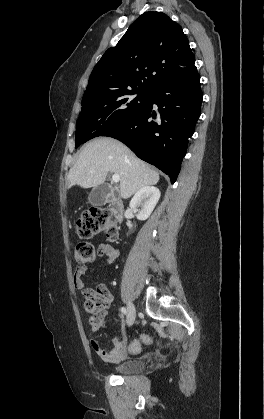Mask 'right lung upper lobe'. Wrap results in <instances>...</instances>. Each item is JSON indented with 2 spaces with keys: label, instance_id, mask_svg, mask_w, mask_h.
<instances>
[{
  "label": "right lung upper lobe",
  "instance_id": "right-lung-upper-lobe-1",
  "mask_svg": "<svg viewBox=\"0 0 264 419\" xmlns=\"http://www.w3.org/2000/svg\"><path fill=\"white\" fill-rule=\"evenodd\" d=\"M195 58L179 24L162 12H146L109 48L91 73L84 97L135 88L151 91L197 74Z\"/></svg>",
  "mask_w": 264,
  "mask_h": 419
}]
</instances>
